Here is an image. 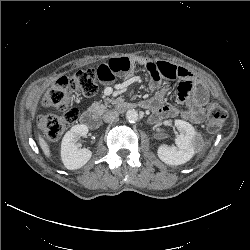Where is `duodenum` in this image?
I'll return each instance as SVG.
<instances>
[{
  "mask_svg": "<svg viewBox=\"0 0 250 250\" xmlns=\"http://www.w3.org/2000/svg\"><path fill=\"white\" fill-rule=\"evenodd\" d=\"M133 105L129 102H118L115 105V109L119 113H125L129 109H131ZM82 123L86 125L88 128L95 130L100 126L99 113L94 110H86L83 112L81 117Z\"/></svg>",
  "mask_w": 250,
  "mask_h": 250,
  "instance_id": "410a0bca",
  "label": "duodenum"
}]
</instances>
